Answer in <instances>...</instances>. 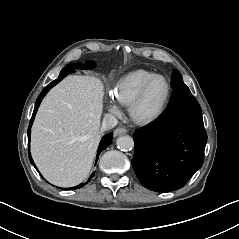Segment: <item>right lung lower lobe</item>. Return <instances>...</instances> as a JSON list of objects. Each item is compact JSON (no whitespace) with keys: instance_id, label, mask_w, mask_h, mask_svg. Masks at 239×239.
<instances>
[{"instance_id":"right-lung-lower-lobe-1","label":"right lung lower lobe","mask_w":239,"mask_h":239,"mask_svg":"<svg viewBox=\"0 0 239 239\" xmlns=\"http://www.w3.org/2000/svg\"><path fill=\"white\" fill-rule=\"evenodd\" d=\"M79 68V69H93L95 67V63L92 62V61H87L85 65H82V64H70L68 65L67 67L63 68L59 74V77L54 80L53 82H51L47 87H45L42 92L40 93V95L38 96L37 100H36V104H35V108H34V111H33V115H32V118H31V121H30V124H29V128H28V145L30 144V134H31V125L33 123V120H34V117L36 115V112H37V109L41 103V100L43 99V97L46 95V93L53 87L55 86L57 83H59L66 75L70 74V73H73L74 70L76 68ZM112 139H113V133H109L107 135H105L101 142H100V145H99V148H98V152H97V158H96V161L98 160V157H99V154L106 148L108 147L111 143H112ZM30 154V152H29ZM29 159L31 161V163L34 165V167L37 169V167L35 166L32 158H31V155H29ZM38 171V169H37ZM94 176V173H92V175L90 176L89 180ZM88 180V181H89ZM86 183L84 184H80L76 187H72V188H63V190H74V189H78V188H81L85 185Z\"/></svg>"}]
</instances>
